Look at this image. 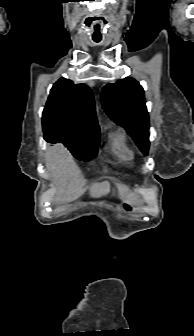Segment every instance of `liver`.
<instances>
[{
    "mask_svg": "<svg viewBox=\"0 0 194 336\" xmlns=\"http://www.w3.org/2000/svg\"><path fill=\"white\" fill-rule=\"evenodd\" d=\"M46 168L51 173L54 181L59 186V191L55 197V203L58 205L63 202L68 194V181L74 176L77 167L72 156L61 145L50 148L45 158ZM110 192L108 182L93 184L89 193L91 197L99 198Z\"/></svg>",
    "mask_w": 194,
    "mask_h": 336,
    "instance_id": "1",
    "label": "liver"
}]
</instances>
